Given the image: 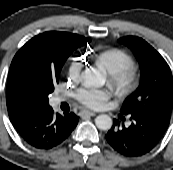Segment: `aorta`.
Instances as JSON below:
<instances>
[{
	"label": "aorta",
	"instance_id": "762f6f07",
	"mask_svg": "<svg viewBox=\"0 0 173 170\" xmlns=\"http://www.w3.org/2000/svg\"><path fill=\"white\" fill-rule=\"evenodd\" d=\"M81 78L87 86L98 87L104 83L102 75L93 69L84 70ZM95 124L101 130H109L112 127V119L108 115L102 114L96 117Z\"/></svg>",
	"mask_w": 173,
	"mask_h": 170
}]
</instances>
